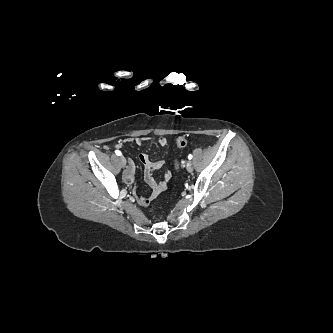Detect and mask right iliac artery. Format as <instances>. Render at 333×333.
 <instances>
[{
    "label": "right iliac artery",
    "mask_w": 333,
    "mask_h": 333,
    "mask_svg": "<svg viewBox=\"0 0 333 333\" xmlns=\"http://www.w3.org/2000/svg\"><path fill=\"white\" fill-rule=\"evenodd\" d=\"M115 154L118 155V156H121V155H122L121 151H119V150H116V151H115Z\"/></svg>",
    "instance_id": "1"
}]
</instances>
